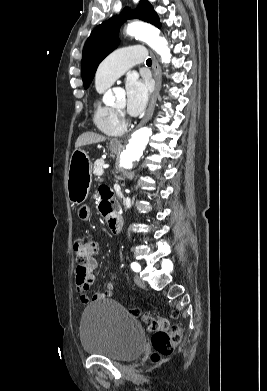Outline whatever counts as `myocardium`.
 <instances>
[{"instance_id":"obj_1","label":"myocardium","mask_w":267,"mask_h":391,"mask_svg":"<svg viewBox=\"0 0 267 391\" xmlns=\"http://www.w3.org/2000/svg\"><path fill=\"white\" fill-rule=\"evenodd\" d=\"M114 111L118 114V115H123V111L121 109H114Z\"/></svg>"}]
</instances>
